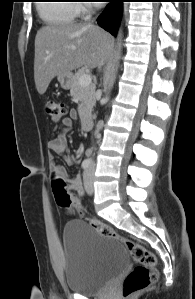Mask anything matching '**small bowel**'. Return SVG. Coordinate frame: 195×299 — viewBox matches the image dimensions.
I'll list each match as a JSON object with an SVG mask.
<instances>
[{
    "instance_id": "obj_1",
    "label": "small bowel",
    "mask_w": 195,
    "mask_h": 299,
    "mask_svg": "<svg viewBox=\"0 0 195 299\" xmlns=\"http://www.w3.org/2000/svg\"><path fill=\"white\" fill-rule=\"evenodd\" d=\"M74 117H75V112L71 111L68 117L62 119L61 124L63 128L61 132L48 142V149L53 153L64 156L66 162L69 165L73 164V160L68 155L66 137L68 132L71 130L73 126ZM50 169L54 176L60 175L68 182V190L70 191L73 190L76 192L75 198L78 199L79 197H82L85 194V190L79 175L70 176L65 172V170L61 166L53 162L50 165Z\"/></svg>"
}]
</instances>
